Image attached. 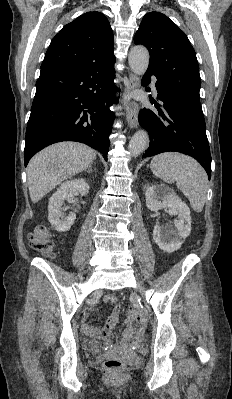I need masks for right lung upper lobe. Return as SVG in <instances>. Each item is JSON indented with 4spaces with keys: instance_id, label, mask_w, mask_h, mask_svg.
Wrapping results in <instances>:
<instances>
[{
    "instance_id": "1",
    "label": "right lung upper lobe",
    "mask_w": 232,
    "mask_h": 399,
    "mask_svg": "<svg viewBox=\"0 0 232 399\" xmlns=\"http://www.w3.org/2000/svg\"><path fill=\"white\" fill-rule=\"evenodd\" d=\"M113 32L104 14L87 12L53 38L41 70L73 69L114 60Z\"/></svg>"
}]
</instances>
